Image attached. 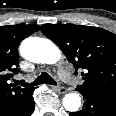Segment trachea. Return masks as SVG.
Segmentation results:
<instances>
[{
  "label": "trachea",
  "instance_id": "obj_1",
  "mask_svg": "<svg viewBox=\"0 0 116 116\" xmlns=\"http://www.w3.org/2000/svg\"><path fill=\"white\" fill-rule=\"evenodd\" d=\"M15 83L16 85H21L26 88H30L41 84L57 85L56 81L46 72H42L41 75L38 76L31 83H26L24 80L16 81Z\"/></svg>",
  "mask_w": 116,
  "mask_h": 116
}]
</instances>
